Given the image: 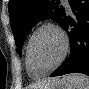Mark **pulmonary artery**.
<instances>
[{
  "label": "pulmonary artery",
  "instance_id": "obj_1",
  "mask_svg": "<svg viewBox=\"0 0 89 89\" xmlns=\"http://www.w3.org/2000/svg\"><path fill=\"white\" fill-rule=\"evenodd\" d=\"M64 2H67L66 0H64ZM66 6H68L67 4H66Z\"/></svg>",
  "mask_w": 89,
  "mask_h": 89
}]
</instances>
